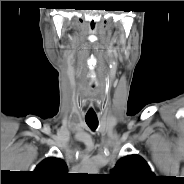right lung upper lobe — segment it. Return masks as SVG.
I'll list each match as a JSON object with an SVG mask.
<instances>
[{"label": "right lung upper lobe", "instance_id": "1", "mask_svg": "<svg viewBox=\"0 0 184 184\" xmlns=\"http://www.w3.org/2000/svg\"><path fill=\"white\" fill-rule=\"evenodd\" d=\"M68 168L59 158H46L34 170L40 181L48 184H61L67 181Z\"/></svg>", "mask_w": 184, "mask_h": 184}]
</instances>
